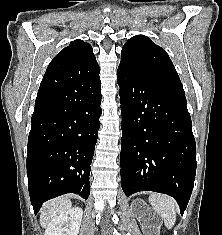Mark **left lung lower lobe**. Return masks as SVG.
I'll return each mask as SVG.
<instances>
[{"label": "left lung lower lobe", "mask_w": 222, "mask_h": 235, "mask_svg": "<svg viewBox=\"0 0 222 235\" xmlns=\"http://www.w3.org/2000/svg\"><path fill=\"white\" fill-rule=\"evenodd\" d=\"M121 187L176 199L181 214L196 174V145L184 93L119 66Z\"/></svg>", "instance_id": "0a47b994"}]
</instances>
